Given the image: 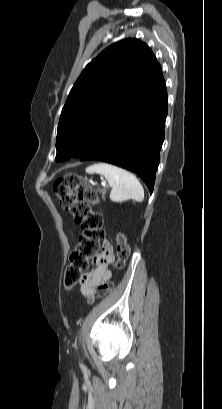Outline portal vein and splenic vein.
I'll return each mask as SVG.
<instances>
[{"label": "portal vein and splenic vein", "instance_id": "18ae733b", "mask_svg": "<svg viewBox=\"0 0 222 409\" xmlns=\"http://www.w3.org/2000/svg\"><path fill=\"white\" fill-rule=\"evenodd\" d=\"M102 185H105V183H104V182H102Z\"/></svg>", "mask_w": 222, "mask_h": 409}]
</instances>
